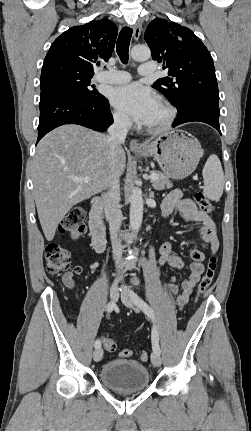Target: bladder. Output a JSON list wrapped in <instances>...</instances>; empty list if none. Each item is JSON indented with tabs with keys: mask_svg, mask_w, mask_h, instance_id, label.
Listing matches in <instances>:
<instances>
[{
	"mask_svg": "<svg viewBox=\"0 0 251 431\" xmlns=\"http://www.w3.org/2000/svg\"><path fill=\"white\" fill-rule=\"evenodd\" d=\"M101 382L119 393H132L145 389L150 382V373L143 364L126 359L107 362L99 372Z\"/></svg>",
	"mask_w": 251,
	"mask_h": 431,
	"instance_id": "bladder-1",
	"label": "bladder"
}]
</instances>
